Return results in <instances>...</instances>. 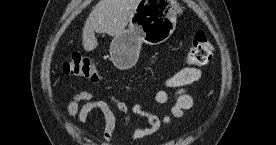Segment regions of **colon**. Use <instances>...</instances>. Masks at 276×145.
I'll return each instance as SVG.
<instances>
[{"instance_id": "1", "label": "colon", "mask_w": 276, "mask_h": 145, "mask_svg": "<svg viewBox=\"0 0 276 145\" xmlns=\"http://www.w3.org/2000/svg\"><path fill=\"white\" fill-rule=\"evenodd\" d=\"M213 55V46L203 32H197L192 40L186 56L187 63L192 67L205 65ZM64 73L91 82H100L103 77L95 62L79 54L71 56L63 64Z\"/></svg>"}]
</instances>
